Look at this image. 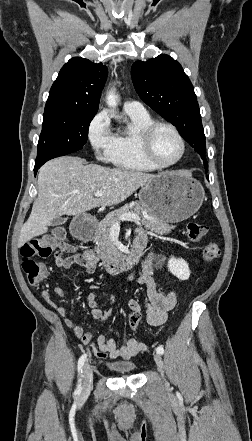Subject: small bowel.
<instances>
[{
    "mask_svg": "<svg viewBox=\"0 0 252 441\" xmlns=\"http://www.w3.org/2000/svg\"><path fill=\"white\" fill-rule=\"evenodd\" d=\"M135 244H146V237L142 232H139ZM69 254V255H65ZM73 265L82 266L87 273H94L97 269L94 259H87L80 253H76L75 249L67 245L65 250H58L55 253V266L57 268L68 269ZM154 254L150 252L143 263V267L139 272L130 273L127 277L128 281H137L143 285L146 289L147 299L144 303V309L146 312V319L151 326H160L164 324L168 318V313L175 307L177 302V296L174 291L168 293L159 292L156 288L154 280ZM54 293L59 297H64L65 292L60 286H55ZM43 299L51 305L56 312L64 318V323L67 327L73 329L74 335L79 338L83 343H88L92 339V335L89 332H85L80 324H76L70 318H68L65 308L56 305L51 298V292L44 290L42 292ZM87 306L90 308V315L93 319L99 320L102 310L99 308L98 298L95 293H88L85 296ZM110 302H115V296L112 295ZM127 307L129 309L142 311V305L135 299H129L127 301ZM98 348L100 351L105 352L111 359H124L130 360L136 357L139 353L144 352L147 348L146 344L142 341L130 338L127 342L118 346L116 341L106 335H100L97 339Z\"/></svg>",
    "mask_w": 252,
    "mask_h": 441,
    "instance_id": "1",
    "label": "small bowel"
}]
</instances>
